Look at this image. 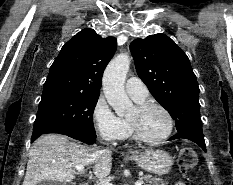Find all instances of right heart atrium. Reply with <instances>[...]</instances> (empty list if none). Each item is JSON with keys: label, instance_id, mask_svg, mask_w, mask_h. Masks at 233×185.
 Returning <instances> with one entry per match:
<instances>
[{"label": "right heart atrium", "instance_id": "1", "mask_svg": "<svg viewBox=\"0 0 233 185\" xmlns=\"http://www.w3.org/2000/svg\"><path fill=\"white\" fill-rule=\"evenodd\" d=\"M92 122L97 135L107 142L115 143L126 136V121L115 114L103 96L93 106Z\"/></svg>", "mask_w": 233, "mask_h": 185}]
</instances>
